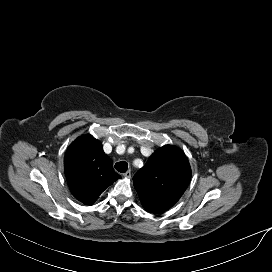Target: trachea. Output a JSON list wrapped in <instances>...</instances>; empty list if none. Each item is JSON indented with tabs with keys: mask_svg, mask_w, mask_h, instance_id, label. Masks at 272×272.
Returning a JSON list of instances; mask_svg holds the SVG:
<instances>
[{
	"mask_svg": "<svg viewBox=\"0 0 272 272\" xmlns=\"http://www.w3.org/2000/svg\"><path fill=\"white\" fill-rule=\"evenodd\" d=\"M114 167L120 173H125L128 169V164L125 161H120V162H117Z\"/></svg>",
	"mask_w": 272,
	"mask_h": 272,
	"instance_id": "3493384b",
	"label": "trachea"
}]
</instances>
